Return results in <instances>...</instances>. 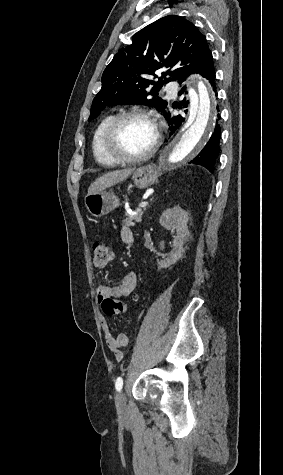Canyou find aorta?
I'll use <instances>...</instances> for the list:
<instances>
[{"label": "aorta", "instance_id": "762f6f07", "mask_svg": "<svg viewBox=\"0 0 283 475\" xmlns=\"http://www.w3.org/2000/svg\"><path fill=\"white\" fill-rule=\"evenodd\" d=\"M189 116L162 150L159 163L162 168L171 169L196 156L206 144L216 120L213 92L203 81L197 83V93L189 88Z\"/></svg>", "mask_w": 283, "mask_h": 475}]
</instances>
